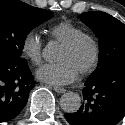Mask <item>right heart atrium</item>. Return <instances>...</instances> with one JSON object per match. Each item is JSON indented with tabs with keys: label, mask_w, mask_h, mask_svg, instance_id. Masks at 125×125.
Wrapping results in <instances>:
<instances>
[{
	"label": "right heart atrium",
	"mask_w": 125,
	"mask_h": 125,
	"mask_svg": "<svg viewBox=\"0 0 125 125\" xmlns=\"http://www.w3.org/2000/svg\"><path fill=\"white\" fill-rule=\"evenodd\" d=\"M43 44V38L39 34L33 31L28 32L21 45L23 56L33 65H39L42 61Z\"/></svg>",
	"instance_id": "obj_1"
}]
</instances>
